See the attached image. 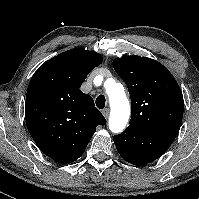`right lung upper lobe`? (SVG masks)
I'll use <instances>...</instances> for the list:
<instances>
[{
	"label": "right lung upper lobe",
	"instance_id": "obj_1",
	"mask_svg": "<svg viewBox=\"0 0 199 199\" xmlns=\"http://www.w3.org/2000/svg\"><path fill=\"white\" fill-rule=\"evenodd\" d=\"M102 61L94 51L68 50L43 63L29 83L25 103L28 131L39 149L56 162L77 160L96 127L106 124L92 97L80 90Z\"/></svg>",
	"mask_w": 199,
	"mask_h": 199
}]
</instances>
